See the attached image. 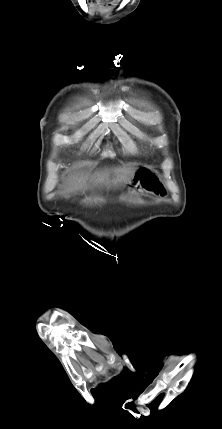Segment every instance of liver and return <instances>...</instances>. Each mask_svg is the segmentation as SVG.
I'll return each mask as SVG.
<instances>
[{
  "mask_svg": "<svg viewBox=\"0 0 222 429\" xmlns=\"http://www.w3.org/2000/svg\"><path fill=\"white\" fill-rule=\"evenodd\" d=\"M135 169L128 166H118L97 170L93 174H75L67 180L65 191L71 193L88 187H119L131 181ZM113 176V179L110 177Z\"/></svg>",
  "mask_w": 222,
  "mask_h": 429,
  "instance_id": "1",
  "label": "liver"
}]
</instances>
